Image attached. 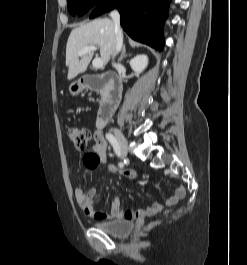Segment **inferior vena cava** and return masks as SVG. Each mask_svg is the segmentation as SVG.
<instances>
[{"instance_id": "1", "label": "inferior vena cava", "mask_w": 247, "mask_h": 265, "mask_svg": "<svg viewBox=\"0 0 247 265\" xmlns=\"http://www.w3.org/2000/svg\"><path fill=\"white\" fill-rule=\"evenodd\" d=\"M111 17L114 22L115 26V46L112 52V59L115 58V56L118 54V52L121 50L123 45V35L120 28V15L117 10H114L111 12ZM113 66H116V64L113 62Z\"/></svg>"}]
</instances>
